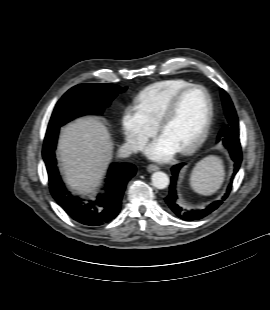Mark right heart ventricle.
Listing matches in <instances>:
<instances>
[{
    "mask_svg": "<svg viewBox=\"0 0 270 310\" xmlns=\"http://www.w3.org/2000/svg\"><path fill=\"white\" fill-rule=\"evenodd\" d=\"M189 85L190 82L182 79L159 81L141 90L137 100L149 120L157 125L173 96Z\"/></svg>",
    "mask_w": 270,
    "mask_h": 310,
    "instance_id": "obj_1",
    "label": "right heart ventricle"
}]
</instances>
